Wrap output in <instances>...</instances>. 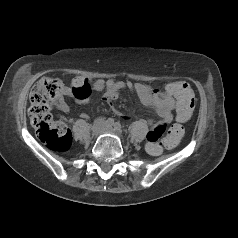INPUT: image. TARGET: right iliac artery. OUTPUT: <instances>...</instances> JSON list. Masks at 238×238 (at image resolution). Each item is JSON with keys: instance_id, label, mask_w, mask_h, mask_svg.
I'll use <instances>...</instances> for the list:
<instances>
[{"instance_id": "obj_1", "label": "right iliac artery", "mask_w": 238, "mask_h": 238, "mask_svg": "<svg viewBox=\"0 0 238 238\" xmlns=\"http://www.w3.org/2000/svg\"><path fill=\"white\" fill-rule=\"evenodd\" d=\"M105 124L109 127H111L114 124V120L112 118H108L105 122Z\"/></svg>"}]
</instances>
